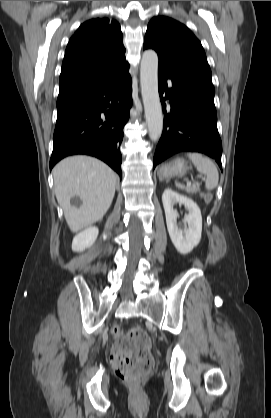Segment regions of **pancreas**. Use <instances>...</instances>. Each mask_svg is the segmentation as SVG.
I'll return each instance as SVG.
<instances>
[{"instance_id": "1", "label": "pancreas", "mask_w": 271, "mask_h": 418, "mask_svg": "<svg viewBox=\"0 0 271 418\" xmlns=\"http://www.w3.org/2000/svg\"><path fill=\"white\" fill-rule=\"evenodd\" d=\"M198 191H199V186H196V185L187 188L188 193L194 194V193H197Z\"/></svg>"}]
</instances>
